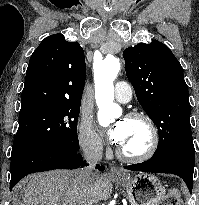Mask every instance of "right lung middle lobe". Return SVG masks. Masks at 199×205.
Wrapping results in <instances>:
<instances>
[{"label": "right lung middle lobe", "mask_w": 199, "mask_h": 205, "mask_svg": "<svg viewBox=\"0 0 199 205\" xmlns=\"http://www.w3.org/2000/svg\"><path fill=\"white\" fill-rule=\"evenodd\" d=\"M79 112L80 104L42 105L20 111L11 159L51 145L79 150Z\"/></svg>", "instance_id": "obj_1"}]
</instances>
